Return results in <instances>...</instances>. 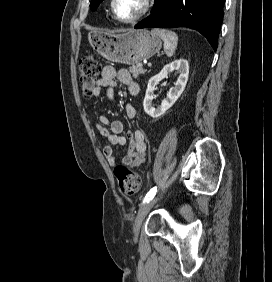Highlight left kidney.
<instances>
[{
    "label": "left kidney",
    "mask_w": 272,
    "mask_h": 282,
    "mask_svg": "<svg viewBox=\"0 0 272 282\" xmlns=\"http://www.w3.org/2000/svg\"><path fill=\"white\" fill-rule=\"evenodd\" d=\"M173 71L179 73L175 87L169 90L166 99L161 103V105L158 108H154L152 105V100L154 99L153 92L156 85L164 78H167L168 75ZM188 75L189 64L185 59H178L165 65L157 75L151 77L148 81L146 94L143 101L144 111L152 118H158L163 115L169 108L173 106V104L184 91L188 81Z\"/></svg>",
    "instance_id": "1"
}]
</instances>
